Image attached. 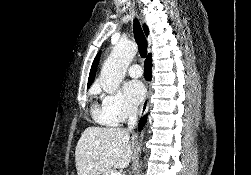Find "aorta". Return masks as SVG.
Segmentation results:
<instances>
[{
	"instance_id": "aorta-1",
	"label": "aorta",
	"mask_w": 251,
	"mask_h": 175,
	"mask_svg": "<svg viewBox=\"0 0 251 175\" xmlns=\"http://www.w3.org/2000/svg\"><path fill=\"white\" fill-rule=\"evenodd\" d=\"M137 44L133 42H119L114 46L109 58L102 66L99 84L103 91L114 93L119 88L120 82L124 80L128 66L136 56ZM143 131L141 133L142 141ZM141 149V147H138Z\"/></svg>"
}]
</instances>
